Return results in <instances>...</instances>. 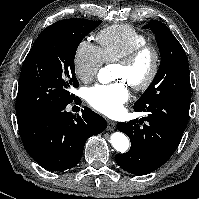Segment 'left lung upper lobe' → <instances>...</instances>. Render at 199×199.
I'll use <instances>...</instances> for the list:
<instances>
[{
    "label": "left lung upper lobe",
    "instance_id": "5c2ea615",
    "mask_svg": "<svg viewBox=\"0 0 199 199\" xmlns=\"http://www.w3.org/2000/svg\"><path fill=\"white\" fill-rule=\"evenodd\" d=\"M143 28L151 29L155 34L161 63L154 80L136 101L134 109L146 110L170 100L191 102L189 64L183 47L168 27L158 20H151Z\"/></svg>",
    "mask_w": 199,
    "mask_h": 199
}]
</instances>
